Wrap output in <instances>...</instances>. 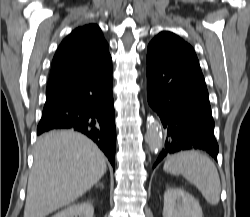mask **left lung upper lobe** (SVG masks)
<instances>
[{
	"mask_svg": "<svg viewBox=\"0 0 250 217\" xmlns=\"http://www.w3.org/2000/svg\"><path fill=\"white\" fill-rule=\"evenodd\" d=\"M150 45L162 47L170 53L190 56L197 59L193 48L177 35L163 31L159 33L151 42Z\"/></svg>",
	"mask_w": 250,
	"mask_h": 217,
	"instance_id": "left-lung-upper-lobe-1",
	"label": "left lung upper lobe"
}]
</instances>
